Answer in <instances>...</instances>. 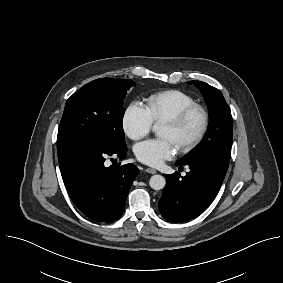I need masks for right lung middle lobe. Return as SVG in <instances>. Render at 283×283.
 <instances>
[{
  "mask_svg": "<svg viewBox=\"0 0 283 283\" xmlns=\"http://www.w3.org/2000/svg\"><path fill=\"white\" fill-rule=\"evenodd\" d=\"M133 85L129 79L101 78L69 97L58 130V154L84 141L125 145L123 99Z\"/></svg>",
  "mask_w": 283,
  "mask_h": 283,
  "instance_id": "right-lung-middle-lobe-1",
  "label": "right lung middle lobe"
}]
</instances>
